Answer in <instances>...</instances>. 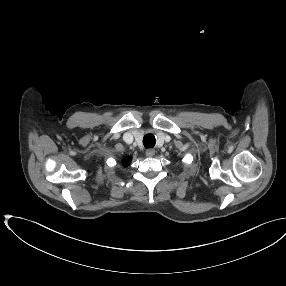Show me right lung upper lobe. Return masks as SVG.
<instances>
[{"mask_svg":"<svg viewBox=\"0 0 286 286\" xmlns=\"http://www.w3.org/2000/svg\"><path fill=\"white\" fill-rule=\"evenodd\" d=\"M130 162H131V158L130 157H126L123 160V165L126 167V166H128L130 164Z\"/></svg>","mask_w":286,"mask_h":286,"instance_id":"obj_1","label":"right lung upper lobe"}]
</instances>
